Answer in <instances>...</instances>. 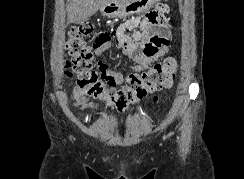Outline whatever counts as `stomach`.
Here are the masks:
<instances>
[{
  "label": "stomach",
  "mask_w": 244,
  "mask_h": 179,
  "mask_svg": "<svg viewBox=\"0 0 244 179\" xmlns=\"http://www.w3.org/2000/svg\"><path fill=\"white\" fill-rule=\"evenodd\" d=\"M148 2L156 3L157 0H108L101 6L100 12L109 18H126L132 14H139Z\"/></svg>",
  "instance_id": "1"
}]
</instances>
